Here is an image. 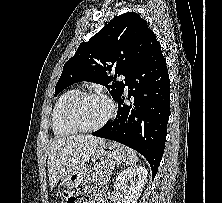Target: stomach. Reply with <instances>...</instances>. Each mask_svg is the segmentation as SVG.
Masks as SVG:
<instances>
[{"mask_svg":"<svg viewBox=\"0 0 222 203\" xmlns=\"http://www.w3.org/2000/svg\"><path fill=\"white\" fill-rule=\"evenodd\" d=\"M126 158V147L117 142H105L98 146L93 152L91 159L93 162L97 160L121 161ZM89 162L81 164L70 170L63 178L62 184L65 188H77L86 181L89 173Z\"/></svg>","mask_w":222,"mask_h":203,"instance_id":"1","label":"stomach"}]
</instances>
